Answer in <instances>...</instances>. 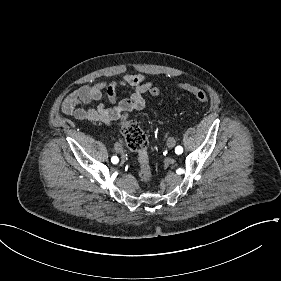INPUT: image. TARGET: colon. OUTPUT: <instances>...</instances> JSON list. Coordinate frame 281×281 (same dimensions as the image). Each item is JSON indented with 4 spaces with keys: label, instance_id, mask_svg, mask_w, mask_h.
<instances>
[{
    "label": "colon",
    "instance_id": "colon-1",
    "mask_svg": "<svg viewBox=\"0 0 281 281\" xmlns=\"http://www.w3.org/2000/svg\"><path fill=\"white\" fill-rule=\"evenodd\" d=\"M180 89L191 92L196 101L200 103H206L209 100L207 93L197 90L196 86L181 83ZM151 92L152 94L156 95L159 93V90L157 88H153ZM121 133L129 147L136 153L138 157V176L142 180L150 179L152 177V172L150 168L147 135L140 129L139 124L136 121L126 118H123L121 121Z\"/></svg>",
    "mask_w": 281,
    "mask_h": 281
}]
</instances>
